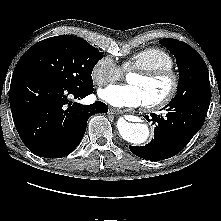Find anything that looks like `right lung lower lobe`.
<instances>
[{
	"label": "right lung lower lobe",
	"mask_w": 221,
	"mask_h": 221,
	"mask_svg": "<svg viewBox=\"0 0 221 221\" xmlns=\"http://www.w3.org/2000/svg\"><path fill=\"white\" fill-rule=\"evenodd\" d=\"M93 90L71 88L36 71L15 68L10 107L25 146L45 158H61L71 153L85 134L88 118L108 111L101 101L91 105L70 101L83 99Z\"/></svg>",
	"instance_id": "1"
}]
</instances>
